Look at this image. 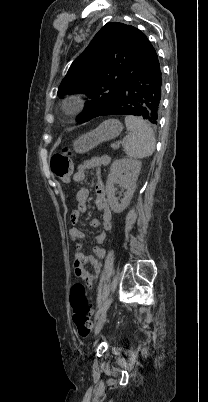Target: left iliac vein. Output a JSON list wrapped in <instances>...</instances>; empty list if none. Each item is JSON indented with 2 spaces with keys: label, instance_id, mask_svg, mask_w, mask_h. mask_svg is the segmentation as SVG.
<instances>
[{
  "label": "left iliac vein",
  "instance_id": "1",
  "mask_svg": "<svg viewBox=\"0 0 208 402\" xmlns=\"http://www.w3.org/2000/svg\"><path fill=\"white\" fill-rule=\"evenodd\" d=\"M106 316H107V313H106V310H105V311H103L101 313V315L99 316V318H98V320L96 322L95 330H94L95 335L99 334V332L101 331V329H102V327H103V325L105 323Z\"/></svg>",
  "mask_w": 208,
  "mask_h": 402
}]
</instances>
